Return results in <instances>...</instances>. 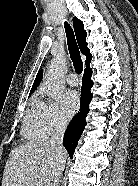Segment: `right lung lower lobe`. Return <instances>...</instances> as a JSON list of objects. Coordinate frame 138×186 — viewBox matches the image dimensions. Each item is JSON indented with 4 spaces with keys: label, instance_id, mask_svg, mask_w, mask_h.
Listing matches in <instances>:
<instances>
[{
    "label": "right lung lower lobe",
    "instance_id": "98d812e1",
    "mask_svg": "<svg viewBox=\"0 0 138 186\" xmlns=\"http://www.w3.org/2000/svg\"><path fill=\"white\" fill-rule=\"evenodd\" d=\"M91 75L92 72H84L81 89V111L72 119L64 134L63 145L71 158L86 126L85 118L89 112V103L92 99L90 89L93 86V81Z\"/></svg>",
    "mask_w": 138,
    "mask_h": 186
}]
</instances>
